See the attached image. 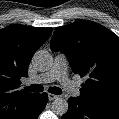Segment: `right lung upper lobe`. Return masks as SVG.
I'll use <instances>...</instances> for the list:
<instances>
[{
	"mask_svg": "<svg viewBox=\"0 0 119 119\" xmlns=\"http://www.w3.org/2000/svg\"><path fill=\"white\" fill-rule=\"evenodd\" d=\"M52 28L10 25L0 30V119H24L39 94L19 89L29 62Z\"/></svg>",
	"mask_w": 119,
	"mask_h": 119,
	"instance_id": "1",
	"label": "right lung upper lobe"
}]
</instances>
